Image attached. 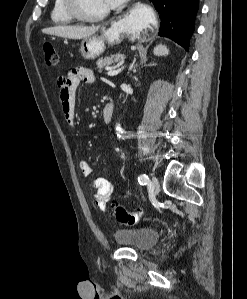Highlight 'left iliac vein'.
I'll return each instance as SVG.
<instances>
[{"instance_id": "left-iliac-vein-1", "label": "left iliac vein", "mask_w": 247, "mask_h": 299, "mask_svg": "<svg viewBox=\"0 0 247 299\" xmlns=\"http://www.w3.org/2000/svg\"><path fill=\"white\" fill-rule=\"evenodd\" d=\"M149 186L154 195H157L159 193L160 185L156 177L152 176Z\"/></svg>"}]
</instances>
